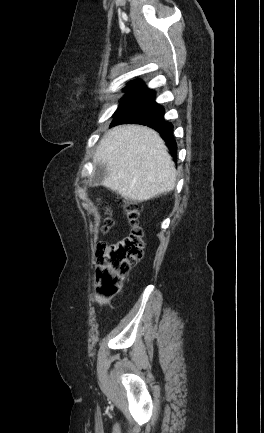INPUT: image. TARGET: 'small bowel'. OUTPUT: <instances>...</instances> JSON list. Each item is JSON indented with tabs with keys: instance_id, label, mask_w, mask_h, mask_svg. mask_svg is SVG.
I'll list each match as a JSON object with an SVG mask.
<instances>
[{
	"instance_id": "obj_1",
	"label": "small bowel",
	"mask_w": 264,
	"mask_h": 433,
	"mask_svg": "<svg viewBox=\"0 0 264 433\" xmlns=\"http://www.w3.org/2000/svg\"><path fill=\"white\" fill-rule=\"evenodd\" d=\"M94 301L95 303L99 305H108L109 300L101 296L98 292L94 295Z\"/></svg>"
}]
</instances>
